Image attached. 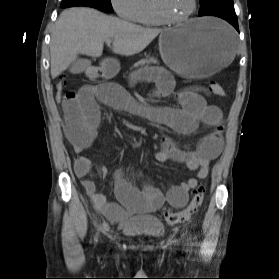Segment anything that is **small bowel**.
I'll return each instance as SVG.
<instances>
[{"instance_id":"small-bowel-1","label":"small bowel","mask_w":279,"mask_h":279,"mask_svg":"<svg viewBox=\"0 0 279 279\" xmlns=\"http://www.w3.org/2000/svg\"><path fill=\"white\" fill-rule=\"evenodd\" d=\"M138 80H153L156 83V97L175 96L180 106L148 107L136 101L124 87L114 83L86 85L78 90L68 91L61 101L64 133L79 155L74 166L75 174L97 209L112 221L123 220L127 212H155L165 202L176 208L184 207L189 191L197 187L198 179L207 177L210 162L220 155L223 146L222 113L217 106L207 103L202 88L190 87L175 91L173 78L160 68H148L130 75L131 83ZM100 103L144 117L179 134H191L200 124L213 127L214 131L203 136L194 150H181L170 138L163 136L162 146L155 153L158 161L183 163L195 171L196 176L163 193L149 184L136 187L124 180L117 170L114 177L119 204L108 201L90 178L93 170L91 160L82 155L96 139L101 119ZM107 172L105 167L98 169L101 177L106 176Z\"/></svg>"}]
</instances>
